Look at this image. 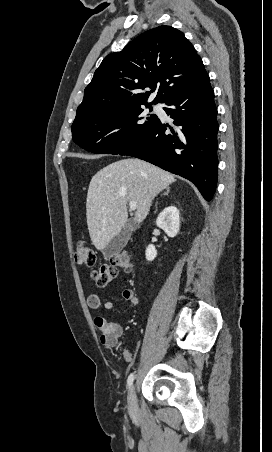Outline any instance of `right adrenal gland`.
<instances>
[{
	"instance_id": "right-adrenal-gland-1",
	"label": "right adrenal gland",
	"mask_w": 272,
	"mask_h": 452,
	"mask_svg": "<svg viewBox=\"0 0 272 452\" xmlns=\"http://www.w3.org/2000/svg\"><path fill=\"white\" fill-rule=\"evenodd\" d=\"M169 191H170V188L167 187V188H166V192H165L163 195H168Z\"/></svg>"
}]
</instances>
